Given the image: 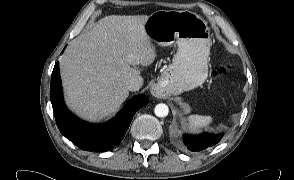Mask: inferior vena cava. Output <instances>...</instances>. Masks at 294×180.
Instances as JSON below:
<instances>
[{
	"instance_id": "obj_1",
	"label": "inferior vena cava",
	"mask_w": 294,
	"mask_h": 180,
	"mask_svg": "<svg viewBox=\"0 0 294 180\" xmlns=\"http://www.w3.org/2000/svg\"><path fill=\"white\" fill-rule=\"evenodd\" d=\"M143 78L141 76H134L132 78L129 79V81L127 82V88L130 91H137L139 90L142 85H143Z\"/></svg>"
}]
</instances>
